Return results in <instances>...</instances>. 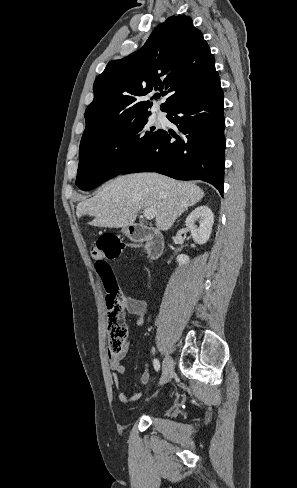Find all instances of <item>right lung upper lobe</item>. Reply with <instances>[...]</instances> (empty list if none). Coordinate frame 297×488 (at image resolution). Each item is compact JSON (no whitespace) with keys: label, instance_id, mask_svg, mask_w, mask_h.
Segmentation results:
<instances>
[{"label":"right lung upper lobe","instance_id":"right-lung-upper-lobe-1","mask_svg":"<svg viewBox=\"0 0 297 488\" xmlns=\"http://www.w3.org/2000/svg\"><path fill=\"white\" fill-rule=\"evenodd\" d=\"M218 76L215 58L189 16L169 17L129 56L108 63L93 85L94 100L85 111L83 138L107 134L149 116L144 96L163 88L169 112L181 100Z\"/></svg>","mask_w":297,"mask_h":488}]
</instances>
